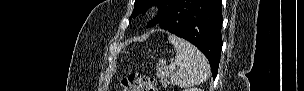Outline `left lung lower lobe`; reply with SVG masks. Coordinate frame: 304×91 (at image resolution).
Here are the masks:
<instances>
[{
  "label": "left lung lower lobe",
  "mask_w": 304,
  "mask_h": 91,
  "mask_svg": "<svg viewBox=\"0 0 304 91\" xmlns=\"http://www.w3.org/2000/svg\"><path fill=\"white\" fill-rule=\"evenodd\" d=\"M221 0H176L159 26L191 42L208 58L216 78L222 49Z\"/></svg>",
  "instance_id": "0a47b994"
}]
</instances>
